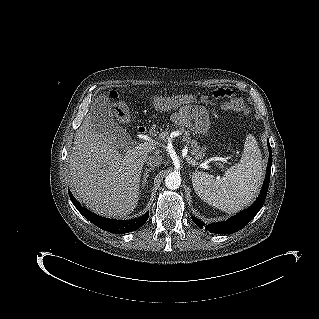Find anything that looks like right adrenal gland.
Here are the masks:
<instances>
[{"instance_id": "2a0ac1e0", "label": "right adrenal gland", "mask_w": 319, "mask_h": 319, "mask_svg": "<svg viewBox=\"0 0 319 319\" xmlns=\"http://www.w3.org/2000/svg\"><path fill=\"white\" fill-rule=\"evenodd\" d=\"M153 170L152 168H149V169H146L144 174H143V178H142V188L144 189L146 187V185L148 184L147 180H148V177H149V172Z\"/></svg>"}]
</instances>
